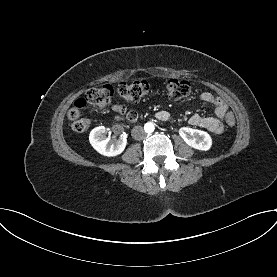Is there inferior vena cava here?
Returning <instances> with one entry per match:
<instances>
[{
    "label": "inferior vena cava",
    "mask_w": 277,
    "mask_h": 277,
    "mask_svg": "<svg viewBox=\"0 0 277 277\" xmlns=\"http://www.w3.org/2000/svg\"><path fill=\"white\" fill-rule=\"evenodd\" d=\"M132 137L135 140H143L146 138V132L141 126H135L131 131Z\"/></svg>",
    "instance_id": "inferior-vena-cava-1"
}]
</instances>
